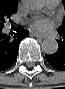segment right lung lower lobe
Listing matches in <instances>:
<instances>
[{"label":"right lung lower lobe","instance_id":"obj_1","mask_svg":"<svg viewBox=\"0 0 65 89\" xmlns=\"http://www.w3.org/2000/svg\"><path fill=\"white\" fill-rule=\"evenodd\" d=\"M28 36L27 30H18L10 39L0 29V71L10 68L15 62L18 54L19 43Z\"/></svg>","mask_w":65,"mask_h":89}]
</instances>
